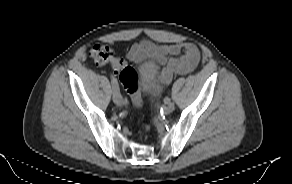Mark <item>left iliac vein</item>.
I'll use <instances>...</instances> for the list:
<instances>
[{"instance_id":"1","label":"left iliac vein","mask_w":292,"mask_h":184,"mask_svg":"<svg viewBox=\"0 0 292 184\" xmlns=\"http://www.w3.org/2000/svg\"><path fill=\"white\" fill-rule=\"evenodd\" d=\"M174 110V103L169 102L165 107H164V114L168 115L170 113H172V111Z\"/></svg>"}]
</instances>
